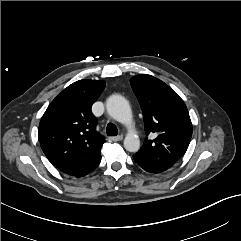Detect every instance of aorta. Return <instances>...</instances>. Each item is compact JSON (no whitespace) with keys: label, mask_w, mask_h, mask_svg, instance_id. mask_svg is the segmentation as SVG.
I'll list each match as a JSON object with an SVG mask.
<instances>
[{"label":"aorta","mask_w":241,"mask_h":241,"mask_svg":"<svg viewBox=\"0 0 241 241\" xmlns=\"http://www.w3.org/2000/svg\"><path fill=\"white\" fill-rule=\"evenodd\" d=\"M108 114L116 121L132 124V111L128 101L121 95H111L106 101ZM124 148L129 152H137L140 148L139 137L134 133H128L124 139Z\"/></svg>","instance_id":"1"}]
</instances>
